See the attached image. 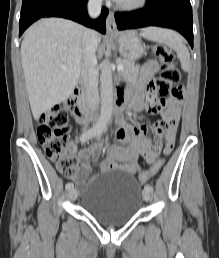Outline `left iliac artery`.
Instances as JSON below:
<instances>
[{
	"mask_svg": "<svg viewBox=\"0 0 219 258\" xmlns=\"http://www.w3.org/2000/svg\"><path fill=\"white\" fill-rule=\"evenodd\" d=\"M100 135H101V131H98L97 134H96V136L99 138ZM144 189L149 190V191H152V190H153V187H152L151 185L147 184V185H145Z\"/></svg>",
	"mask_w": 219,
	"mask_h": 258,
	"instance_id": "44dca946",
	"label": "left iliac artery"
}]
</instances>
